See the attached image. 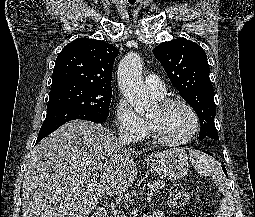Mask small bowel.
<instances>
[{"label":"small bowel","mask_w":255,"mask_h":217,"mask_svg":"<svg viewBox=\"0 0 255 217\" xmlns=\"http://www.w3.org/2000/svg\"><path fill=\"white\" fill-rule=\"evenodd\" d=\"M153 217H164V214L161 211H156L152 215Z\"/></svg>","instance_id":"1"}]
</instances>
